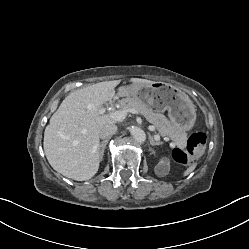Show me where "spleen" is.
<instances>
[{"label":"spleen","instance_id":"obj_1","mask_svg":"<svg viewBox=\"0 0 249 249\" xmlns=\"http://www.w3.org/2000/svg\"><path fill=\"white\" fill-rule=\"evenodd\" d=\"M195 167H196V164H195V163L192 164L191 166H189V167L187 168V170L183 173V175H184V176H187V175L190 174L192 171H194Z\"/></svg>","mask_w":249,"mask_h":249}]
</instances>
